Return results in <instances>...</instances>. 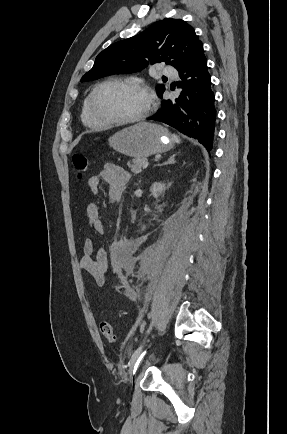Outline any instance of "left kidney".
Instances as JSON below:
<instances>
[{"mask_svg":"<svg viewBox=\"0 0 287 434\" xmlns=\"http://www.w3.org/2000/svg\"><path fill=\"white\" fill-rule=\"evenodd\" d=\"M164 190H165V186L159 182H155L150 188V192L155 198H157L159 194Z\"/></svg>","mask_w":287,"mask_h":434,"instance_id":"1","label":"left kidney"}]
</instances>
